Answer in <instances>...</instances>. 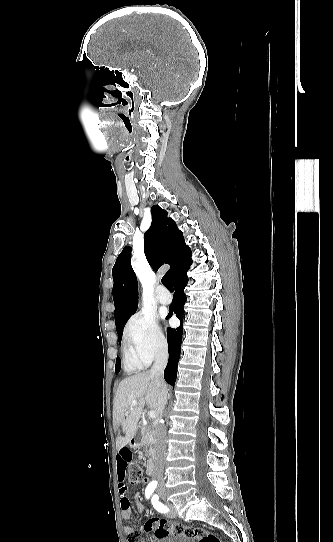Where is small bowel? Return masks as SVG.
I'll return each mask as SVG.
<instances>
[{
	"mask_svg": "<svg viewBox=\"0 0 333 542\" xmlns=\"http://www.w3.org/2000/svg\"><path fill=\"white\" fill-rule=\"evenodd\" d=\"M130 448L122 447L119 450L118 456H117V490H118V496H119V504H120V510L122 517L125 520H130L132 515V509H131V502L128 498V488L125 483V476H126V469L129 461L132 458V455L130 453ZM150 481V478L148 476H145L143 479L140 480V485L144 489L147 485V483ZM134 501L137 505L138 511L142 512V496L140 493H136L134 495ZM134 530V527L132 525L125 526L124 531L126 534H130Z\"/></svg>",
	"mask_w": 333,
	"mask_h": 542,
	"instance_id": "1",
	"label": "small bowel"
}]
</instances>
